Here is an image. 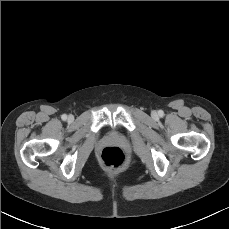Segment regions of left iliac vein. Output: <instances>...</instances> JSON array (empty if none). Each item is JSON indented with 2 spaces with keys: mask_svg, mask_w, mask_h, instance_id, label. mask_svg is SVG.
<instances>
[{
  "mask_svg": "<svg viewBox=\"0 0 229 229\" xmlns=\"http://www.w3.org/2000/svg\"><path fill=\"white\" fill-rule=\"evenodd\" d=\"M152 114H153V116H154V117H156V116H157V113H156V112H153Z\"/></svg>",
  "mask_w": 229,
  "mask_h": 229,
  "instance_id": "4c4485c4",
  "label": "left iliac vein"
}]
</instances>
